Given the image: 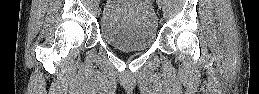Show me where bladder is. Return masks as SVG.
<instances>
[{
  "label": "bladder",
  "mask_w": 259,
  "mask_h": 94,
  "mask_svg": "<svg viewBox=\"0 0 259 94\" xmlns=\"http://www.w3.org/2000/svg\"><path fill=\"white\" fill-rule=\"evenodd\" d=\"M102 38L121 50H146L156 41L158 20L148 0H109L99 20Z\"/></svg>",
  "instance_id": "obj_1"
}]
</instances>
